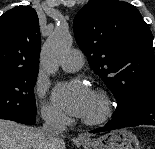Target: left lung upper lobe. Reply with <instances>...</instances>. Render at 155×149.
Wrapping results in <instances>:
<instances>
[{
	"instance_id": "5c2ea615",
	"label": "left lung upper lobe",
	"mask_w": 155,
	"mask_h": 149,
	"mask_svg": "<svg viewBox=\"0 0 155 149\" xmlns=\"http://www.w3.org/2000/svg\"><path fill=\"white\" fill-rule=\"evenodd\" d=\"M73 29L89 65L118 104L155 87L153 36L136 7L117 0H90L77 13Z\"/></svg>"
}]
</instances>
